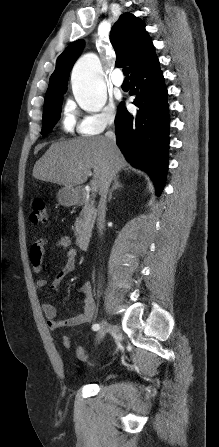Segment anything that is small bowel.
Segmentation results:
<instances>
[{
	"mask_svg": "<svg viewBox=\"0 0 219 447\" xmlns=\"http://www.w3.org/2000/svg\"><path fill=\"white\" fill-rule=\"evenodd\" d=\"M47 245V239L39 238L31 246V264L33 272L36 274H40L46 269V265L44 262V253ZM55 246L60 250L66 251V262L55 273L51 283L52 290H57L62 280L75 270V260L77 257V251L72 248L71 238L62 237L56 242ZM35 286L37 290L42 291L46 288L47 281L45 279H38ZM77 292L83 297V311L82 313L68 319L58 320L56 318V308L49 303L43 305V312L47 319V325L50 330L54 331L63 327H76L90 323L93 320L95 314V301L90 283L84 282L83 284H81V286L77 289ZM62 343L66 348H69L71 346V340L68 336L62 337ZM85 355L86 353L83 348L78 347L76 349V356L79 359L85 360Z\"/></svg>",
	"mask_w": 219,
	"mask_h": 447,
	"instance_id": "obj_1",
	"label": "small bowel"
}]
</instances>
